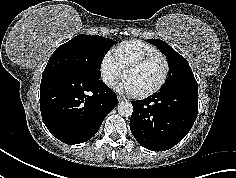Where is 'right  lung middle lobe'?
Listing matches in <instances>:
<instances>
[{
  "mask_svg": "<svg viewBox=\"0 0 236 178\" xmlns=\"http://www.w3.org/2000/svg\"><path fill=\"white\" fill-rule=\"evenodd\" d=\"M114 43L101 36L78 35L54 51L43 74L62 72L100 79L102 58Z\"/></svg>",
  "mask_w": 236,
  "mask_h": 178,
  "instance_id": "dd1d6c3e",
  "label": "right lung middle lobe"
}]
</instances>
